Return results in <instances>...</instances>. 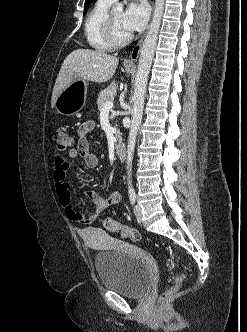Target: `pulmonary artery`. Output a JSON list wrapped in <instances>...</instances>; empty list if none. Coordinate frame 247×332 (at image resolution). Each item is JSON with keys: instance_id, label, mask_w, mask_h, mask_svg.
Wrapping results in <instances>:
<instances>
[{"instance_id": "e3ab8cb5", "label": "pulmonary artery", "mask_w": 247, "mask_h": 332, "mask_svg": "<svg viewBox=\"0 0 247 332\" xmlns=\"http://www.w3.org/2000/svg\"><path fill=\"white\" fill-rule=\"evenodd\" d=\"M108 1H110L111 3H113V2H115L116 0H108Z\"/></svg>"}]
</instances>
